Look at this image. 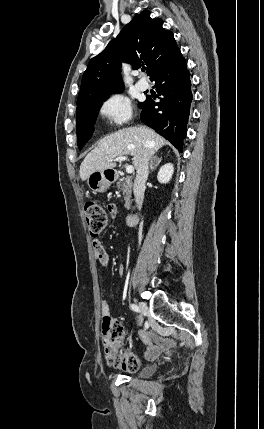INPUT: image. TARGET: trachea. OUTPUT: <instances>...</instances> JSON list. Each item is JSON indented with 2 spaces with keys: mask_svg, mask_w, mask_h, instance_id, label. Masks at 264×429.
<instances>
[{
  "mask_svg": "<svg viewBox=\"0 0 264 429\" xmlns=\"http://www.w3.org/2000/svg\"><path fill=\"white\" fill-rule=\"evenodd\" d=\"M145 70H146V67H143V68H142V71H145Z\"/></svg>",
  "mask_w": 264,
  "mask_h": 429,
  "instance_id": "3493384b",
  "label": "trachea"
}]
</instances>
